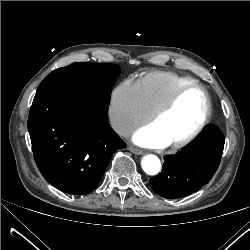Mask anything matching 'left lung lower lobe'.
Listing matches in <instances>:
<instances>
[{
	"mask_svg": "<svg viewBox=\"0 0 250 250\" xmlns=\"http://www.w3.org/2000/svg\"><path fill=\"white\" fill-rule=\"evenodd\" d=\"M224 136L207 125L181 152L165 156L162 172L149 183L164 198H182L198 190L216 172L224 149Z\"/></svg>",
	"mask_w": 250,
	"mask_h": 250,
	"instance_id": "0a47b994",
	"label": "left lung lower lobe"
}]
</instances>
